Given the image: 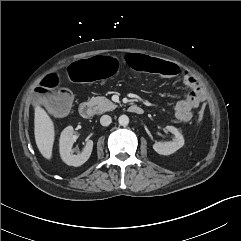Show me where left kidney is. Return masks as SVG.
Wrapping results in <instances>:
<instances>
[{
    "label": "left kidney",
    "instance_id": "obj_1",
    "mask_svg": "<svg viewBox=\"0 0 241 241\" xmlns=\"http://www.w3.org/2000/svg\"><path fill=\"white\" fill-rule=\"evenodd\" d=\"M166 130L171 132L175 137L169 142H156L153 149L161 155H170L176 152L184 145V137L174 126H166Z\"/></svg>",
    "mask_w": 241,
    "mask_h": 241
}]
</instances>
